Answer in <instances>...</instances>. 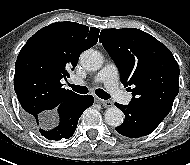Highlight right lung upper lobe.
<instances>
[{
	"instance_id": "1",
	"label": "right lung upper lobe",
	"mask_w": 190,
	"mask_h": 165,
	"mask_svg": "<svg viewBox=\"0 0 190 165\" xmlns=\"http://www.w3.org/2000/svg\"><path fill=\"white\" fill-rule=\"evenodd\" d=\"M100 30L75 22H56L37 31L15 64L14 89L25 114L35 119L78 94L63 88L62 78L76 67L80 54L94 46Z\"/></svg>"
}]
</instances>
